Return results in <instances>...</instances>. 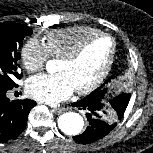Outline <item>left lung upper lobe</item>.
Instances as JSON below:
<instances>
[{"label":"left lung upper lobe","mask_w":153,"mask_h":153,"mask_svg":"<svg viewBox=\"0 0 153 153\" xmlns=\"http://www.w3.org/2000/svg\"><path fill=\"white\" fill-rule=\"evenodd\" d=\"M109 82L110 79L106 80L99 88L86 96V98L103 101L107 96ZM130 97L131 94L122 93L119 96H116L114 99L110 100V106H106L105 108V118H107L109 122L114 123V125H117V122L121 120L126 110Z\"/></svg>","instance_id":"1"}]
</instances>
